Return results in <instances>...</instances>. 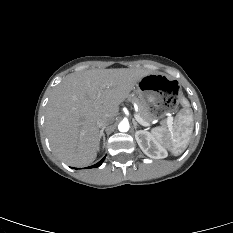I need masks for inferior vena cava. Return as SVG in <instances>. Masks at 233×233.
Here are the masks:
<instances>
[{
  "label": "inferior vena cava",
  "instance_id": "602c4592",
  "mask_svg": "<svg viewBox=\"0 0 233 233\" xmlns=\"http://www.w3.org/2000/svg\"><path fill=\"white\" fill-rule=\"evenodd\" d=\"M111 123H112V121L107 117L100 118L97 121L98 127L102 128V129H104L106 126L110 125Z\"/></svg>",
  "mask_w": 233,
  "mask_h": 233
}]
</instances>
